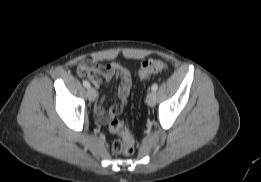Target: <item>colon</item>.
<instances>
[{
  "label": "colon",
  "instance_id": "colon-1",
  "mask_svg": "<svg viewBox=\"0 0 261 182\" xmlns=\"http://www.w3.org/2000/svg\"><path fill=\"white\" fill-rule=\"evenodd\" d=\"M166 68L167 65L161 60L147 59L140 67L139 77L146 79L152 74L165 71ZM78 70L82 75L87 76L89 74V69L86 66H79ZM109 130L119 137L112 144L113 152L121 155H132L135 151L136 143L126 124L120 119H113L109 124Z\"/></svg>",
  "mask_w": 261,
  "mask_h": 182
}]
</instances>
